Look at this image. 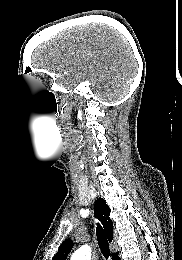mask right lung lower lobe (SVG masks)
Here are the masks:
<instances>
[{
    "label": "right lung lower lobe",
    "mask_w": 182,
    "mask_h": 260,
    "mask_svg": "<svg viewBox=\"0 0 182 260\" xmlns=\"http://www.w3.org/2000/svg\"><path fill=\"white\" fill-rule=\"evenodd\" d=\"M112 260H120V258L118 256V252L112 254Z\"/></svg>",
    "instance_id": "1"
}]
</instances>
